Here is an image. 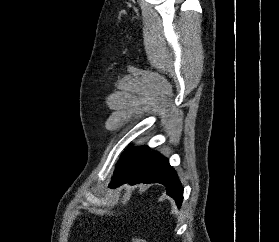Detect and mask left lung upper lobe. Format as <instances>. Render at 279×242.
<instances>
[{"mask_svg": "<svg viewBox=\"0 0 279 242\" xmlns=\"http://www.w3.org/2000/svg\"><path fill=\"white\" fill-rule=\"evenodd\" d=\"M149 151L150 149L147 146L129 148L128 152L125 151L121 156V160H119L111 184L121 179V177Z\"/></svg>", "mask_w": 279, "mask_h": 242, "instance_id": "1", "label": "left lung upper lobe"}]
</instances>
